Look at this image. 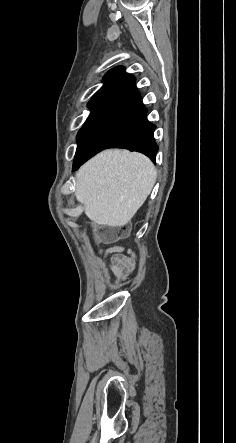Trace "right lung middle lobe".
<instances>
[{"instance_id": "obj_1", "label": "right lung middle lobe", "mask_w": 236, "mask_h": 443, "mask_svg": "<svg viewBox=\"0 0 236 443\" xmlns=\"http://www.w3.org/2000/svg\"><path fill=\"white\" fill-rule=\"evenodd\" d=\"M104 102L105 101L89 102L88 103V107L91 109V114H90L89 118L87 119L86 123L89 121V119L92 117V115L101 107V105Z\"/></svg>"}]
</instances>
